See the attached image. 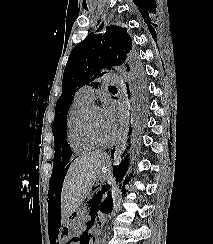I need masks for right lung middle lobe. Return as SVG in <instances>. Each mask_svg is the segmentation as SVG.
<instances>
[{"label":"right lung middle lobe","instance_id":"obj_1","mask_svg":"<svg viewBox=\"0 0 213 244\" xmlns=\"http://www.w3.org/2000/svg\"><path fill=\"white\" fill-rule=\"evenodd\" d=\"M57 167H58L57 161L55 160V163L53 164V171H55Z\"/></svg>","mask_w":213,"mask_h":244}]
</instances>
